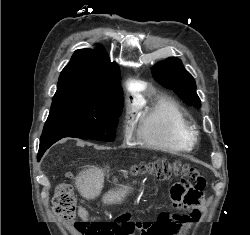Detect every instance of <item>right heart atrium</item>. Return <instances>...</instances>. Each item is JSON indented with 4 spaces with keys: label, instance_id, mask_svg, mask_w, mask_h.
<instances>
[{
    "label": "right heart atrium",
    "instance_id": "right-heart-atrium-1",
    "mask_svg": "<svg viewBox=\"0 0 250 235\" xmlns=\"http://www.w3.org/2000/svg\"><path fill=\"white\" fill-rule=\"evenodd\" d=\"M123 133L125 138H129L132 133V125L129 121H126L124 126H123Z\"/></svg>",
    "mask_w": 250,
    "mask_h": 235
}]
</instances>
